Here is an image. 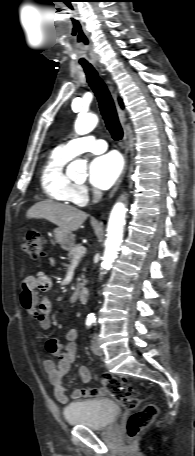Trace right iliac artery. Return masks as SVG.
I'll return each mask as SVG.
<instances>
[{
  "mask_svg": "<svg viewBox=\"0 0 195 456\" xmlns=\"http://www.w3.org/2000/svg\"><path fill=\"white\" fill-rule=\"evenodd\" d=\"M93 322H94L93 319H87V321H86L87 327H90Z\"/></svg>",
  "mask_w": 195,
  "mask_h": 456,
  "instance_id": "1",
  "label": "right iliac artery"
}]
</instances>
